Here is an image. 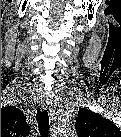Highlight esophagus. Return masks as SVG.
Masks as SVG:
<instances>
[{
	"label": "esophagus",
	"instance_id": "obj_1",
	"mask_svg": "<svg viewBox=\"0 0 121 137\" xmlns=\"http://www.w3.org/2000/svg\"><path fill=\"white\" fill-rule=\"evenodd\" d=\"M41 107H42V109H46L47 108V105H49V102H48V100L47 99H44L43 98V100H41Z\"/></svg>",
	"mask_w": 121,
	"mask_h": 137
}]
</instances>
